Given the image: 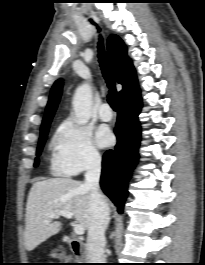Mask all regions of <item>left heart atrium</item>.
Segmentation results:
<instances>
[{
	"mask_svg": "<svg viewBox=\"0 0 205 265\" xmlns=\"http://www.w3.org/2000/svg\"><path fill=\"white\" fill-rule=\"evenodd\" d=\"M97 142L100 146H109L113 142V135L110 130L106 127H102L96 134Z\"/></svg>",
	"mask_w": 205,
	"mask_h": 265,
	"instance_id": "1",
	"label": "left heart atrium"
}]
</instances>
